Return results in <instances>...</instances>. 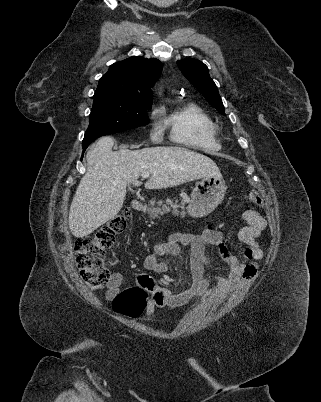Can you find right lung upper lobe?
Instances as JSON below:
<instances>
[{
  "label": "right lung upper lobe",
  "instance_id": "cb5924a9",
  "mask_svg": "<svg viewBox=\"0 0 321 402\" xmlns=\"http://www.w3.org/2000/svg\"><path fill=\"white\" fill-rule=\"evenodd\" d=\"M161 71L162 63L158 59L142 56L127 58L110 66L108 72L100 78L95 94L151 104V87Z\"/></svg>",
  "mask_w": 321,
  "mask_h": 402
}]
</instances>
